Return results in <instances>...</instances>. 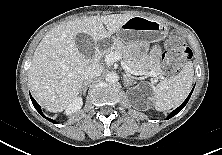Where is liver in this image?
I'll return each instance as SVG.
<instances>
[{
	"label": "liver",
	"mask_w": 222,
	"mask_h": 155,
	"mask_svg": "<svg viewBox=\"0 0 222 155\" xmlns=\"http://www.w3.org/2000/svg\"><path fill=\"white\" fill-rule=\"evenodd\" d=\"M133 15L90 16L58 25L37 46L28 71V83L36 100L48 111L66 109L79 95L84 70L93 63L78 50L75 36L93 41L110 38Z\"/></svg>",
	"instance_id": "6515ba94"
}]
</instances>
